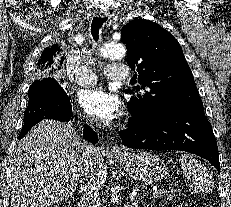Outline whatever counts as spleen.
I'll list each match as a JSON object with an SVG mask.
<instances>
[{"label": "spleen", "instance_id": "obj_1", "mask_svg": "<svg viewBox=\"0 0 231 207\" xmlns=\"http://www.w3.org/2000/svg\"><path fill=\"white\" fill-rule=\"evenodd\" d=\"M181 168L186 178L195 186V191L209 192L214 186L212 178L209 176L206 167L190 156L182 154L179 158Z\"/></svg>", "mask_w": 231, "mask_h": 207}]
</instances>
